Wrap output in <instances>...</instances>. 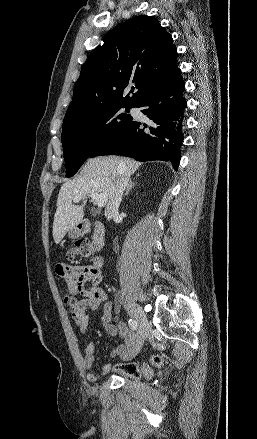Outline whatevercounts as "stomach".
Listing matches in <instances>:
<instances>
[{"label":"stomach","instance_id":"1","mask_svg":"<svg viewBox=\"0 0 257 439\" xmlns=\"http://www.w3.org/2000/svg\"><path fill=\"white\" fill-rule=\"evenodd\" d=\"M79 235V232L76 230V228H72L70 231H69V236L71 237V238H75V237H77Z\"/></svg>","mask_w":257,"mask_h":439}]
</instances>
